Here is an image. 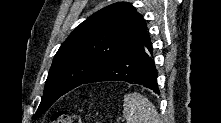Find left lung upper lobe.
Here are the masks:
<instances>
[{
  "label": "left lung upper lobe",
  "mask_w": 221,
  "mask_h": 123,
  "mask_svg": "<svg viewBox=\"0 0 221 123\" xmlns=\"http://www.w3.org/2000/svg\"><path fill=\"white\" fill-rule=\"evenodd\" d=\"M146 32L143 17L127 2L109 5L82 22L57 51L34 117L140 41Z\"/></svg>",
  "instance_id": "obj_1"
}]
</instances>
